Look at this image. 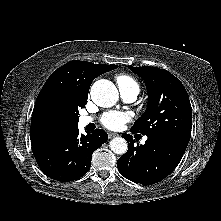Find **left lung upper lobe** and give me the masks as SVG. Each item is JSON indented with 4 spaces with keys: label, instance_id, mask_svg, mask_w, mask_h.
<instances>
[{
    "label": "left lung upper lobe",
    "instance_id": "obj_1",
    "mask_svg": "<svg viewBox=\"0 0 221 221\" xmlns=\"http://www.w3.org/2000/svg\"><path fill=\"white\" fill-rule=\"evenodd\" d=\"M145 81L149 96L145 113L131 129L147 137H160L187 147L191 136L192 108L181 81L157 67H129Z\"/></svg>",
    "mask_w": 221,
    "mask_h": 221
}]
</instances>
